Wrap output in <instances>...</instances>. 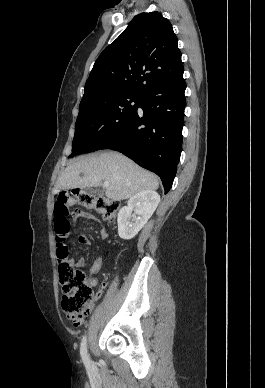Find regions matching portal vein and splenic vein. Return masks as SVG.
Masks as SVG:
<instances>
[{"label":"portal vein and splenic vein","instance_id":"portal-vein-and-splenic-vein-1","mask_svg":"<svg viewBox=\"0 0 265 388\" xmlns=\"http://www.w3.org/2000/svg\"><path fill=\"white\" fill-rule=\"evenodd\" d=\"M109 182H104V188H108Z\"/></svg>","mask_w":265,"mask_h":388}]
</instances>
